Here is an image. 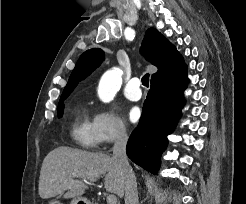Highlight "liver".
Here are the masks:
<instances>
[{
	"mask_svg": "<svg viewBox=\"0 0 246 204\" xmlns=\"http://www.w3.org/2000/svg\"><path fill=\"white\" fill-rule=\"evenodd\" d=\"M73 173L76 176H73ZM102 175H105V189L123 197L125 176L122 167L113 157L104 153L57 147L43 160L39 195L46 199L66 191L64 198H79L90 185L84 179L95 182Z\"/></svg>",
	"mask_w": 246,
	"mask_h": 204,
	"instance_id": "liver-1",
	"label": "liver"
}]
</instances>
